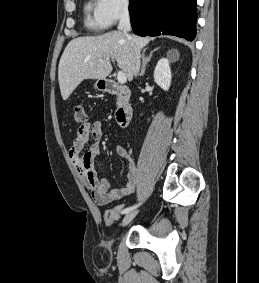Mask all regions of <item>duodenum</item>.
Returning <instances> with one entry per match:
<instances>
[{"label":"duodenum","instance_id":"duodenum-1","mask_svg":"<svg viewBox=\"0 0 259 283\" xmlns=\"http://www.w3.org/2000/svg\"><path fill=\"white\" fill-rule=\"evenodd\" d=\"M104 90L109 94L118 95L120 97V104L116 111V119L120 126L126 127L133 114V109L129 102L130 90L112 80L105 81Z\"/></svg>","mask_w":259,"mask_h":283}]
</instances>
